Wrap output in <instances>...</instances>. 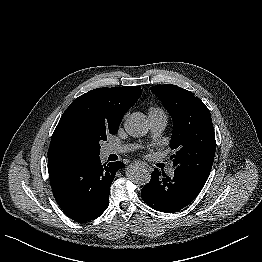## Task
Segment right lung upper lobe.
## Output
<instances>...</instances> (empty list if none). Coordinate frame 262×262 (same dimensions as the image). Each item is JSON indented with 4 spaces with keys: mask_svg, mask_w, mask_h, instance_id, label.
<instances>
[{
    "mask_svg": "<svg viewBox=\"0 0 262 262\" xmlns=\"http://www.w3.org/2000/svg\"><path fill=\"white\" fill-rule=\"evenodd\" d=\"M142 94L139 86L97 88L76 98L63 113L51 138L49 159H66L59 153L61 140L77 119H88L118 130L124 114L136 103Z\"/></svg>",
    "mask_w": 262,
    "mask_h": 262,
    "instance_id": "right-lung-upper-lobe-1",
    "label": "right lung upper lobe"
}]
</instances>
